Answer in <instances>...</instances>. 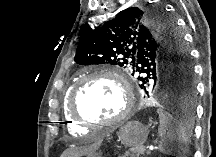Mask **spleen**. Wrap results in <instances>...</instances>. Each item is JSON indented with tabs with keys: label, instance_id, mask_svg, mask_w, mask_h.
<instances>
[{
	"label": "spleen",
	"instance_id": "1",
	"mask_svg": "<svg viewBox=\"0 0 216 157\" xmlns=\"http://www.w3.org/2000/svg\"><path fill=\"white\" fill-rule=\"evenodd\" d=\"M159 115V145L158 149L165 155L186 157L189 143L188 125L178 120L163 109H158Z\"/></svg>",
	"mask_w": 216,
	"mask_h": 157
}]
</instances>
